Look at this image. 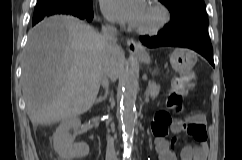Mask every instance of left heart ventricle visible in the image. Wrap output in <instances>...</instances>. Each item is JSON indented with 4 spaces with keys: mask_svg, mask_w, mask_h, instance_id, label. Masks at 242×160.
I'll list each match as a JSON object with an SVG mask.
<instances>
[{
    "mask_svg": "<svg viewBox=\"0 0 242 160\" xmlns=\"http://www.w3.org/2000/svg\"><path fill=\"white\" fill-rule=\"evenodd\" d=\"M159 18L158 12L153 9L149 3H145L141 17L137 26H150L154 25Z\"/></svg>",
    "mask_w": 242,
    "mask_h": 160,
    "instance_id": "left-heart-ventricle-1",
    "label": "left heart ventricle"
}]
</instances>
